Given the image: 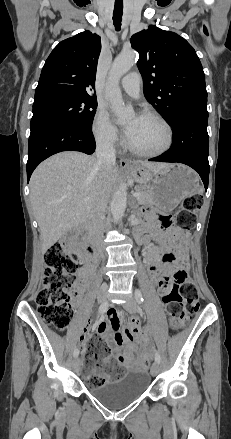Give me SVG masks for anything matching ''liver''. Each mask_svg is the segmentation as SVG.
Masks as SVG:
<instances>
[{"label":"liver","mask_w":231,"mask_h":439,"mask_svg":"<svg viewBox=\"0 0 231 439\" xmlns=\"http://www.w3.org/2000/svg\"><path fill=\"white\" fill-rule=\"evenodd\" d=\"M96 163V157L66 151L51 156L33 172L29 183L30 199L40 228L43 254L64 234L91 217L102 180ZM168 165L142 163L153 172ZM118 176L115 165L108 169L106 183L110 191Z\"/></svg>","instance_id":"liver-1"}]
</instances>
